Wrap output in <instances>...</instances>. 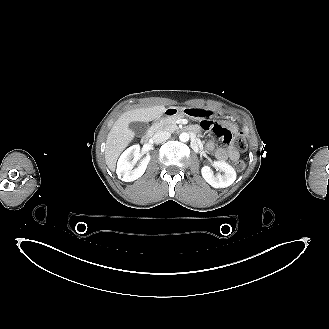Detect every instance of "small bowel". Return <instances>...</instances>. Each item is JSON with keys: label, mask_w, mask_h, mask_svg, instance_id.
Listing matches in <instances>:
<instances>
[{"label": "small bowel", "mask_w": 329, "mask_h": 329, "mask_svg": "<svg viewBox=\"0 0 329 329\" xmlns=\"http://www.w3.org/2000/svg\"><path fill=\"white\" fill-rule=\"evenodd\" d=\"M195 126L199 130H204L208 134H215L217 138L222 139L225 146L215 148L213 143L208 144V149L214 151V154L217 159L224 161L227 159L238 160L239 152L231 144L234 135L233 132L237 131V128L234 125H230L229 128H226L223 124L218 121H213L211 119H206L204 117H199L195 121Z\"/></svg>", "instance_id": "c3829d8e"}]
</instances>
